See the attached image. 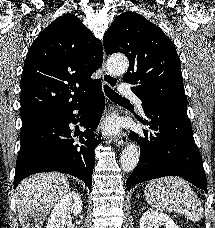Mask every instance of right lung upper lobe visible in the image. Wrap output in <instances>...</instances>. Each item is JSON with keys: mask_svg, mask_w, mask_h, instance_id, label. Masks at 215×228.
Returning <instances> with one entry per match:
<instances>
[{"mask_svg": "<svg viewBox=\"0 0 215 228\" xmlns=\"http://www.w3.org/2000/svg\"><path fill=\"white\" fill-rule=\"evenodd\" d=\"M103 47L81 20L64 14L31 45L21 76L22 123L58 116L97 83Z\"/></svg>", "mask_w": 215, "mask_h": 228, "instance_id": "obj_1", "label": "right lung upper lobe"}]
</instances>
